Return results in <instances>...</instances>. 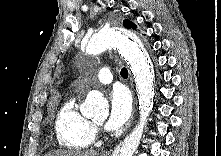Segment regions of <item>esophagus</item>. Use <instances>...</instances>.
<instances>
[{
    "mask_svg": "<svg viewBox=\"0 0 221 156\" xmlns=\"http://www.w3.org/2000/svg\"><path fill=\"white\" fill-rule=\"evenodd\" d=\"M131 86L133 88L132 78H131ZM100 156H110V151H103Z\"/></svg>",
    "mask_w": 221,
    "mask_h": 156,
    "instance_id": "34e87169",
    "label": "esophagus"
}]
</instances>
